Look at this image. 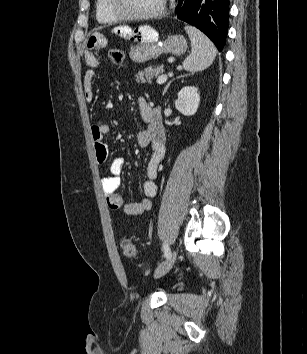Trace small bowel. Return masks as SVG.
Masks as SVG:
<instances>
[{"instance_id":"c3829d8e","label":"small bowel","mask_w":307,"mask_h":354,"mask_svg":"<svg viewBox=\"0 0 307 354\" xmlns=\"http://www.w3.org/2000/svg\"><path fill=\"white\" fill-rule=\"evenodd\" d=\"M115 35L121 38H134L135 30L128 31L117 28ZM105 46V40L101 37H94L88 41L84 53V61L88 66L83 79V91L87 101L94 98L93 82L96 76V69L101 64L99 51ZM139 110L146 128L138 134V145L142 148H149L152 151L151 157L146 166L147 179L143 182L142 190L144 197L135 203H125L123 198L117 193L121 185V173L125 164L122 157L112 160L109 168V175L101 180L103 192L106 195L108 206L113 210L122 209L130 216L141 215L151 209V199L156 196L157 186L155 179L158 174V167L165 154V133L158 112L154 109L146 98L140 97L138 100ZM110 126L106 123L95 124L91 127V137L94 144L95 156L98 163H104L108 157V147L104 142L105 136L109 133Z\"/></svg>"}]
</instances>
